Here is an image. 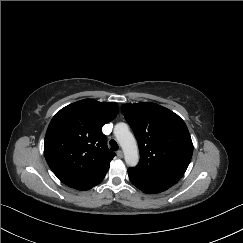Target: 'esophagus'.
Wrapping results in <instances>:
<instances>
[{"label":"esophagus","instance_id":"1","mask_svg":"<svg viewBox=\"0 0 243 243\" xmlns=\"http://www.w3.org/2000/svg\"><path fill=\"white\" fill-rule=\"evenodd\" d=\"M117 156H118L119 158H123V151H122V150H118V151H117Z\"/></svg>","mask_w":243,"mask_h":243}]
</instances>
